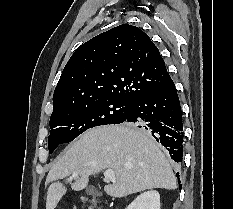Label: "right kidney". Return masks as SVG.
<instances>
[{
    "label": "right kidney",
    "instance_id": "obj_1",
    "mask_svg": "<svg viewBox=\"0 0 233 209\" xmlns=\"http://www.w3.org/2000/svg\"><path fill=\"white\" fill-rule=\"evenodd\" d=\"M126 209H160V195L155 190L144 192Z\"/></svg>",
    "mask_w": 233,
    "mask_h": 209
}]
</instances>
